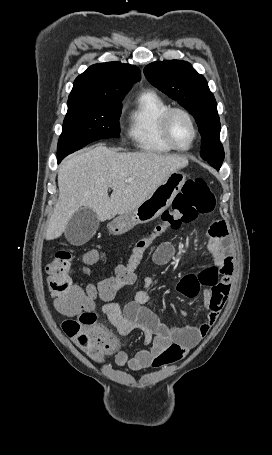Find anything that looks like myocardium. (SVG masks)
Here are the masks:
<instances>
[{"instance_id": "f54148a6", "label": "myocardium", "mask_w": 272, "mask_h": 455, "mask_svg": "<svg viewBox=\"0 0 272 455\" xmlns=\"http://www.w3.org/2000/svg\"><path fill=\"white\" fill-rule=\"evenodd\" d=\"M179 113L187 118L189 121L192 130H193V138L190 142V144L187 147H179L178 145L175 144V142L172 139L171 132H170V121L171 118L174 114ZM160 131L163 140L165 143L173 150L179 151V152H187L192 149L194 146L195 142L197 141L198 138V128L196 125V122L193 118V116L185 109L181 107H169L161 116L160 118Z\"/></svg>"}]
</instances>
